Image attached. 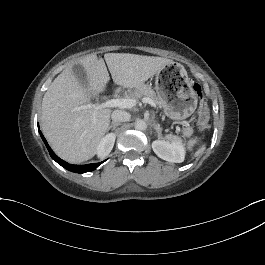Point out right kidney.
Returning <instances> with one entry per match:
<instances>
[{"label": "right kidney", "instance_id": "obj_1", "mask_svg": "<svg viewBox=\"0 0 265 265\" xmlns=\"http://www.w3.org/2000/svg\"><path fill=\"white\" fill-rule=\"evenodd\" d=\"M115 138L116 136L114 133H109L100 140L96 147V153L99 158H104L111 152L115 143Z\"/></svg>", "mask_w": 265, "mask_h": 265}]
</instances>
